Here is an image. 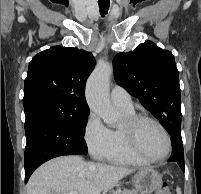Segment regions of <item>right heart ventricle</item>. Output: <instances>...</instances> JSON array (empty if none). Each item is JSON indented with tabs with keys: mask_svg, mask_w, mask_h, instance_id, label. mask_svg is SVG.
<instances>
[{
	"mask_svg": "<svg viewBox=\"0 0 201 194\" xmlns=\"http://www.w3.org/2000/svg\"><path fill=\"white\" fill-rule=\"evenodd\" d=\"M119 109L123 112L126 119L136 115L134 109ZM111 134L112 144L109 151L103 157L104 160L119 165H136L145 163V161L137 157L129 149L122 127L112 129Z\"/></svg>",
	"mask_w": 201,
	"mask_h": 194,
	"instance_id": "right-heart-ventricle-1",
	"label": "right heart ventricle"
}]
</instances>
